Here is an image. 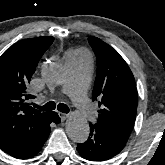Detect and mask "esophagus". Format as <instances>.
Returning a JSON list of instances; mask_svg holds the SVG:
<instances>
[{"instance_id":"obj_1","label":"esophagus","mask_w":165,"mask_h":165,"mask_svg":"<svg viewBox=\"0 0 165 165\" xmlns=\"http://www.w3.org/2000/svg\"><path fill=\"white\" fill-rule=\"evenodd\" d=\"M68 114H65V113H59V117L61 118L62 121L66 120L68 118Z\"/></svg>"}]
</instances>
